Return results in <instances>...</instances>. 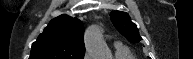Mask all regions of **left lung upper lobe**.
<instances>
[{"label":"left lung upper lobe","mask_w":193,"mask_h":59,"mask_svg":"<svg viewBox=\"0 0 193 59\" xmlns=\"http://www.w3.org/2000/svg\"><path fill=\"white\" fill-rule=\"evenodd\" d=\"M110 19L115 28L132 43L139 42L142 38L139 35L136 24H134L130 16L126 12L113 11Z\"/></svg>","instance_id":"5c2ea615"}]
</instances>
